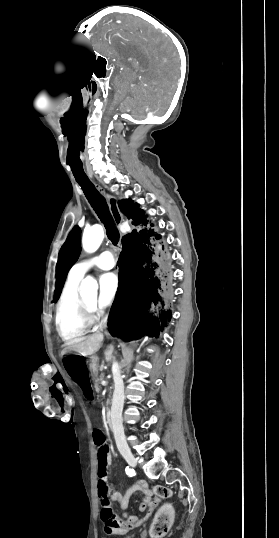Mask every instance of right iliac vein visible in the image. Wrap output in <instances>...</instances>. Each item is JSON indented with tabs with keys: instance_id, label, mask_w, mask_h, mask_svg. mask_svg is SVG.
<instances>
[{
	"instance_id": "obj_1",
	"label": "right iliac vein",
	"mask_w": 279,
	"mask_h": 538,
	"mask_svg": "<svg viewBox=\"0 0 279 538\" xmlns=\"http://www.w3.org/2000/svg\"><path fill=\"white\" fill-rule=\"evenodd\" d=\"M123 457L131 467H136L137 461L132 453L124 452Z\"/></svg>"
}]
</instances>
